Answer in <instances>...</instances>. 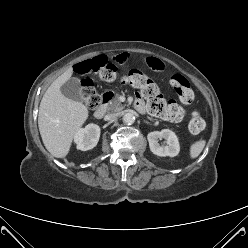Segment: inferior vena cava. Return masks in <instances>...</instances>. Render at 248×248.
<instances>
[{"instance_id":"1","label":"inferior vena cava","mask_w":248,"mask_h":248,"mask_svg":"<svg viewBox=\"0 0 248 248\" xmlns=\"http://www.w3.org/2000/svg\"><path fill=\"white\" fill-rule=\"evenodd\" d=\"M117 116H118V114H116V113H110V114L105 115L104 120H106V121L114 120L117 118Z\"/></svg>"}]
</instances>
